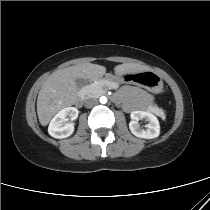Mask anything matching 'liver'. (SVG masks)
<instances>
[{
  "instance_id": "6515ba94",
  "label": "liver",
  "mask_w": 210,
  "mask_h": 210,
  "mask_svg": "<svg viewBox=\"0 0 210 210\" xmlns=\"http://www.w3.org/2000/svg\"><path fill=\"white\" fill-rule=\"evenodd\" d=\"M146 65L123 63L114 67L117 76L150 71ZM106 68L92 63H81L53 72L42 84L37 98V114L42 126H46L51 118L63 108L75 104L79 97L77 78L88 82L102 81Z\"/></svg>"
}]
</instances>
